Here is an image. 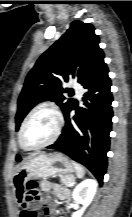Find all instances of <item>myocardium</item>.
<instances>
[{"label":"myocardium","mask_w":132,"mask_h":217,"mask_svg":"<svg viewBox=\"0 0 132 217\" xmlns=\"http://www.w3.org/2000/svg\"><path fill=\"white\" fill-rule=\"evenodd\" d=\"M41 109H49L55 114L56 119H57V125H56L55 132H54L53 136L45 143L38 145V146H35V147H28L23 141V135H24L25 127H26L27 123L29 122V120L33 117V115ZM63 125H64L63 114H62L61 110L59 109V107L55 103H53V102L40 103L30 111V113L27 115V117L23 121L20 132H19V144L26 151H38L40 149L48 147L51 144H53L55 141H57V139L60 137V135L62 133Z\"/></svg>","instance_id":"obj_1"}]
</instances>
